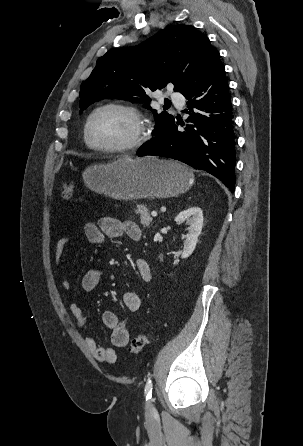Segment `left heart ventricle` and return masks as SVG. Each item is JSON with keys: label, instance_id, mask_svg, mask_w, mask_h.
Returning <instances> with one entry per match:
<instances>
[{"label": "left heart ventricle", "instance_id": "left-heart-ventricle-1", "mask_svg": "<svg viewBox=\"0 0 303 446\" xmlns=\"http://www.w3.org/2000/svg\"><path fill=\"white\" fill-rule=\"evenodd\" d=\"M136 130L133 118L119 110L107 109L92 120L90 136L99 146H118L129 141Z\"/></svg>", "mask_w": 303, "mask_h": 446}]
</instances>
